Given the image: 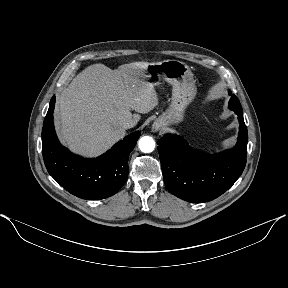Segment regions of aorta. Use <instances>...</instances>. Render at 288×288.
<instances>
[{
	"label": "aorta",
	"instance_id": "aorta-1",
	"mask_svg": "<svg viewBox=\"0 0 288 288\" xmlns=\"http://www.w3.org/2000/svg\"><path fill=\"white\" fill-rule=\"evenodd\" d=\"M139 149L144 153H150L155 148V141L152 137L144 136L139 140Z\"/></svg>",
	"mask_w": 288,
	"mask_h": 288
}]
</instances>
